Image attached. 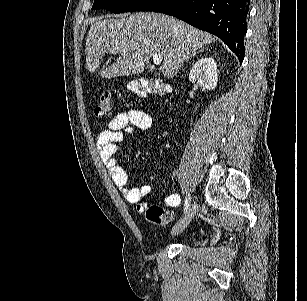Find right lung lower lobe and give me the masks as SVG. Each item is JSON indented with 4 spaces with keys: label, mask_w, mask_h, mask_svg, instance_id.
Listing matches in <instances>:
<instances>
[{
    "label": "right lung lower lobe",
    "mask_w": 307,
    "mask_h": 301,
    "mask_svg": "<svg viewBox=\"0 0 307 301\" xmlns=\"http://www.w3.org/2000/svg\"><path fill=\"white\" fill-rule=\"evenodd\" d=\"M248 0H154L142 11L175 16L192 26L218 36L239 58L244 59Z\"/></svg>",
    "instance_id": "right-lung-lower-lobe-1"
}]
</instances>
